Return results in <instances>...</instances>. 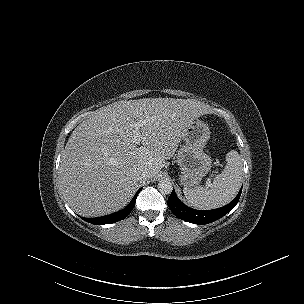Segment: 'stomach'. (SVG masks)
<instances>
[{"label": "stomach", "mask_w": 304, "mask_h": 304, "mask_svg": "<svg viewBox=\"0 0 304 304\" xmlns=\"http://www.w3.org/2000/svg\"><path fill=\"white\" fill-rule=\"evenodd\" d=\"M210 133L209 126L199 119L193 120L184 131L185 145L178 151L177 164L185 187L198 185L211 169V157L203 151Z\"/></svg>", "instance_id": "0dacf381"}]
</instances>
